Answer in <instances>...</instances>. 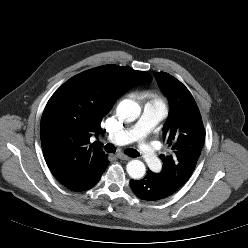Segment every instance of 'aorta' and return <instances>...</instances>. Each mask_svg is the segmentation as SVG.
I'll list each match as a JSON object with an SVG mask.
<instances>
[{
	"mask_svg": "<svg viewBox=\"0 0 248 248\" xmlns=\"http://www.w3.org/2000/svg\"><path fill=\"white\" fill-rule=\"evenodd\" d=\"M140 112V106L130 99L121 101L116 109L118 118L126 122L135 121L139 117ZM126 170L131 178L138 180L145 175L146 167L140 160H131L127 163Z\"/></svg>",
	"mask_w": 248,
	"mask_h": 248,
	"instance_id": "aorta-1",
	"label": "aorta"
}]
</instances>
